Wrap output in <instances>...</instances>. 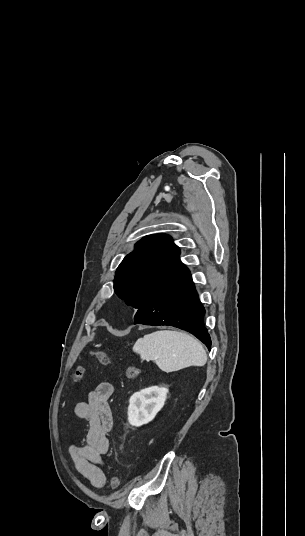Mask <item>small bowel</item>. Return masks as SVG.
<instances>
[{
	"label": "small bowel",
	"mask_w": 305,
	"mask_h": 536,
	"mask_svg": "<svg viewBox=\"0 0 305 536\" xmlns=\"http://www.w3.org/2000/svg\"><path fill=\"white\" fill-rule=\"evenodd\" d=\"M113 393L111 383L101 382L90 392L86 402L75 406L77 417L88 423V431L82 442L69 446V452L77 471L96 488H102L106 483L101 458L109 449L108 434L112 426L109 399Z\"/></svg>",
	"instance_id": "1"
}]
</instances>
